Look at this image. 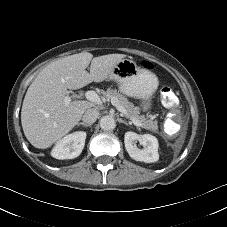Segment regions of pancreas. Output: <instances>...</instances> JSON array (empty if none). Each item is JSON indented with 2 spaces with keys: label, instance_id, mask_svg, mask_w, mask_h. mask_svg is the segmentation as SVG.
Returning <instances> with one entry per match:
<instances>
[{
  "label": "pancreas",
  "instance_id": "1",
  "mask_svg": "<svg viewBox=\"0 0 227 227\" xmlns=\"http://www.w3.org/2000/svg\"><path fill=\"white\" fill-rule=\"evenodd\" d=\"M104 97L109 100L112 98H116L119 104L126 110L127 114L125 115L127 118L134 117L142 123V127L156 131L158 129V122L155 120V115H150L148 117H144L140 115L139 108L135 107L133 103H131L125 96H123L116 89L108 88L106 92L103 93Z\"/></svg>",
  "mask_w": 227,
  "mask_h": 227
}]
</instances>
